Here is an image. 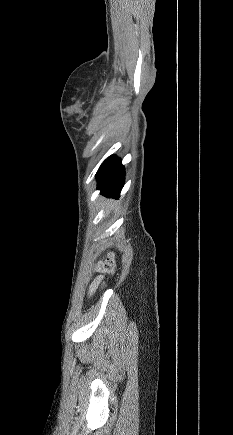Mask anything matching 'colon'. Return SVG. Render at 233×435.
I'll use <instances>...</instances> for the list:
<instances>
[{"label": "colon", "instance_id": "obj_1", "mask_svg": "<svg viewBox=\"0 0 233 435\" xmlns=\"http://www.w3.org/2000/svg\"><path fill=\"white\" fill-rule=\"evenodd\" d=\"M114 267V257L112 254L108 255L107 260L100 261L95 265V271L98 273L110 271Z\"/></svg>", "mask_w": 233, "mask_h": 435}]
</instances>
